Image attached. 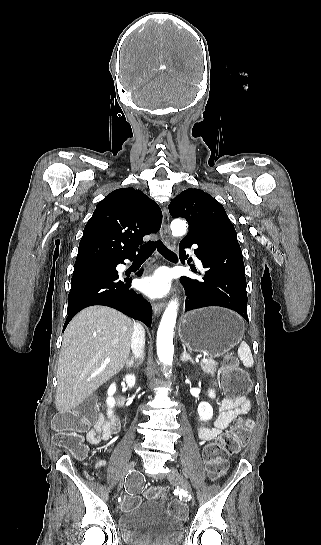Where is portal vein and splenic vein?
I'll return each mask as SVG.
<instances>
[{"instance_id": "obj_1", "label": "portal vein and splenic vein", "mask_w": 321, "mask_h": 545, "mask_svg": "<svg viewBox=\"0 0 321 545\" xmlns=\"http://www.w3.org/2000/svg\"><path fill=\"white\" fill-rule=\"evenodd\" d=\"M201 358V355H196V359ZM105 363H110L111 359L107 357V359H104ZM201 361H206V358H201Z\"/></svg>"}]
</instances>
